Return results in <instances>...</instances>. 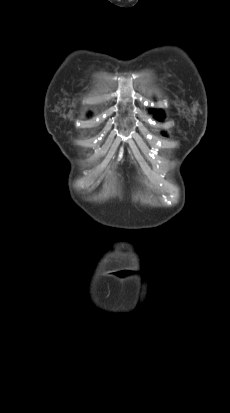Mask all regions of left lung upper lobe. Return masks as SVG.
Returning <instances> with one entry per match:
<instances>
[{
    "label": "left lung upper lobe",
    "mask_w": 230,
    "mask_h": 413,
    "mask_svg": "<svg viewBox=\"0 0 230 413\" xmlns=\"http://www.w3.org/2000/svg\"><path fill=\"white\" fill-rule=\"evenodd\" d=\"M155 117H156L158 120H162V119H163V113H162V111L156 112Z\"/></svg>",
    "instance_id": "obj_1"
}]
</instances>
